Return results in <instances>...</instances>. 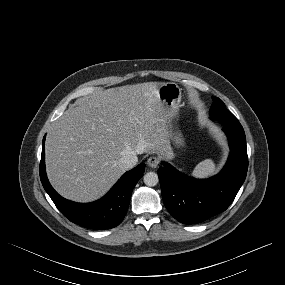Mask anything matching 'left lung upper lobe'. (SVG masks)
<instances>
[{
  "label": "left lung upper lobe",
  "instance_id": "5c2ea615",
  "mask_svg": "<svg viewBox=\"0 0 285 285\" xmlns=\"http://www.w3.org/2000/svg\"><path fill=\"white\" fill-rule=\"evenodd\" d=\"M213 104L210 108L209 114L211 119L219 120L222 123L239 124L238 119L227 110L223 101L217 97H212Z\"/></svg>",
  "mask_w": 285,
  "mask_h": 285
}]
</instances>
